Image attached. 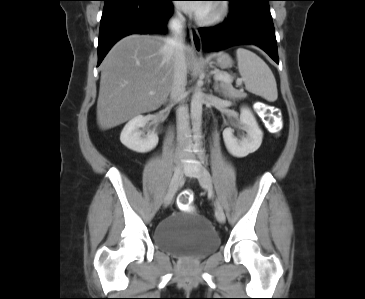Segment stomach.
Here are the masks:
<instances>
[{
    "label": "stomach",
    "mask_w": 365,
    "mask_h": 299,
    "mask_svg": "<svg viewBox=\"0 0 365 299\" xmlns=\"http://www.w3.org/2000/svg\"><path fill=\"white\" fill-rule=\"evenodd\" d=\"M216 64L222 68V69H226L232 66L233 61L231 59V57L227 54V53H219L216 56Z\"/></svg>",
    "instance_id": "stomach-1"
}]
</instances>
